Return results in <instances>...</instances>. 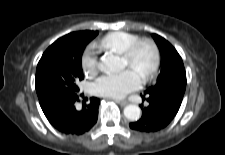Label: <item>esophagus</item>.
<instances>
[{"mask_svg": "<svg viewBox=\"0 0 225 155\" xmlns=\"http://www.w3.org/2000/svg\"><path fill=\"white\" fill-rule=\"evenodd\" d=\"M116 102L119 103L121 106H125L128 104V101H126V100H122V101L117 100Z\"/></svg>", "mask_w": 225, "mask_h": 155, "instance_id": "34e87169", "label": "esophagus"}]
</instances>
